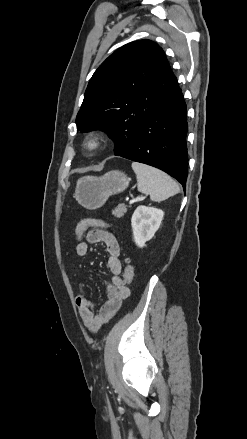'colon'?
<instances>
[{
    "label": "colon",
    "mask_w": 247,
    "mask_h": 439,
    "mask_svg": "<svg viewBox=\"0 0 247 439\" xmlns=\"http://www.w3.org/2000/svg\"><path fill=\"white\" fill-rule=\"evenodd\" d=\"M106 226H108L107 223L99 219H93V218L83 219L77 224L75 228V235L78 239H81L83 234L91 227H106ZM134 274H135L134 266L131 263H128L126 265L123 274V284L125 286H128L132 282L134 278Z\"/></svg>",
    "instance_id": "colon-1"
}]
</instances>
